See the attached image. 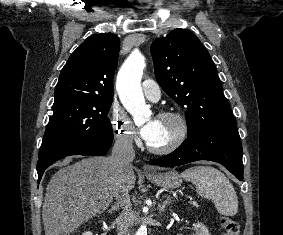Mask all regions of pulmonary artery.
I'll return each mask as SVG.
<instances>
[{
	"mask_svg": "<svg viewBox=\"0 0 283 235\" xmlns=\"http://www.w3.org/2000/svg\"><path fill=\"white\" fill-rule=\"evenodd\" d=\"M142 91L145 97L151 101H158L161 96V91L158 84L152 79H145L142 84Z\"/></svg>",
	"mask_w": 283,
	"mask_h": 235,
	"instance_id": "obj_1",
	"label": "pulmonary artery"
}]
</instances>
